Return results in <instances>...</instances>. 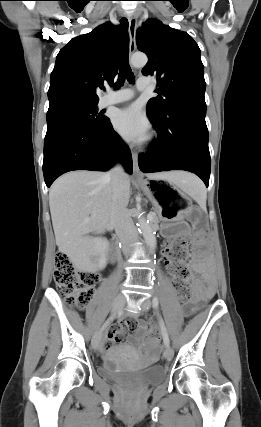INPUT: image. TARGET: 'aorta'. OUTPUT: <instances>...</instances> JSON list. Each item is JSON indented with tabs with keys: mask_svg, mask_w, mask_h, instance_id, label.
<instances>
[{
	"mask_svg": "<svg viewBox=\"0 0 261 427\" xmlns=\"http://www.w3.org/2000/svg\"><path fill=\"white\" fill-rule=\"evenodd\" d=\"M131 65L136 68H142L146 65L148 58L143 53L134 54L131 57ZM139 228L142 231L145 242L147 243L149 249L154 251L157 245L156 237L154 230L150 223L146 221L144 217L138 218Z\"/></svg>",
	"mask_w": 261,
	"mask_h": 427,
	"instance_id": "762f6f07",
	"label": "aorta"
}]
</instances>
